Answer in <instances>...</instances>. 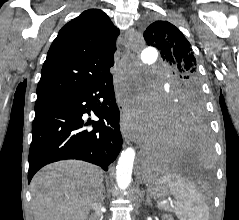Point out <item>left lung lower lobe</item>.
<instances>
[{
	"label": "left lung lower lobe",
	"instance_id": "0a47b994",
	"mask_svg": "<svg viewBox=\"0 0 239 220\" xmlns=\"http://www.w3.org/2000/svg\"><path fill=\"white\" fill-rule=\"evenodd\" d=\"M163 143L145 161L146 169L204 162L212 155L204 111L180 112L169 107L163 114Z\"/></svg>",
	"mask_w": 239,
	"mask_h": 220
}]
</instances>
